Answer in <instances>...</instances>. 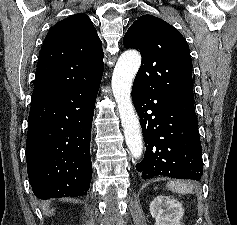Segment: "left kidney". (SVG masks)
<instances>
[{
    "instance_id": "5707ae66",
    "label": "left kidney",
    "mask_w": 237,
    "mask_h": 225,
    "mask_svg": "<svg viewBox=\"0 0 237 225\" xmlns=\"http://www.w3.org/2000/svg\"><path fill=\"white\" fill-rule=\"evenodd\" d=\"M151 216L155 225H181L184 209L182 204L168 196H157L150 204Z\"/></svg>"
}]
</instances>
